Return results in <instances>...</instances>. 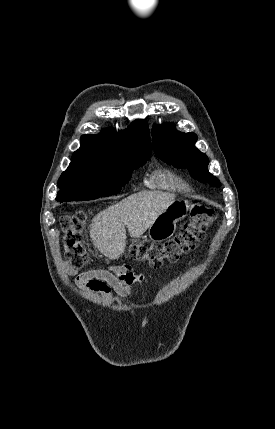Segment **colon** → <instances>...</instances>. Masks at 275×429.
Segmentation results:
<instances>
[{
    "mask_svg": "<svg viewBox=\"0 0 275 429\" xmlns=\"http://www.w3.org/2000/svg\"><path fill=\"white\" fill-rule=\"evenodd\" d=\"M87 218L86 212L79 211L65 214L60 219L64 233L65 258L72 267L77 269L82 268L88 260L81 243V232ZM215 218L216 213L212 208L199 203L193 204L189 221L177 235L164 243L135 241L129 247V256L153 268L160 267L165 261H176L181 255L198 246Z\"/></svg>",
    "mask_w": 275,
    "mask_h": 429,
    "instance_id": "5ec220e1",
    "label": "colon"
}]
</instances>
